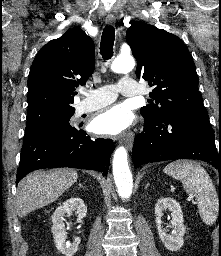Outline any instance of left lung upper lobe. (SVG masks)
Masks as SVG:
<instances>
[{
  "mask_svg": "<svg viewBox=\"0 0 221 256\" xmlns=\"http://www.w3.org/2000/svg\"><path fill=\"white\" fill-rule=\"evenodd\" d=\"M126 41L137 60L136 76L153 91L150 105L141 108L144 120L162 121L173 112L207 113L198 91V76L190 52L179 37L155 26L136 22Z\"/></svg>",
  "mask_w": 221,
  "mask_h": 256,
  "instance_id": "5c2ea615",
  "label": "left lung upper lobe"
}]
</instances>
